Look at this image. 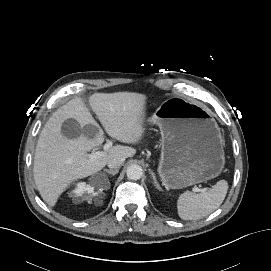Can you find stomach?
Returning <instances> with one entry per match:
<instances>
[{
  "label": "stomach",
  "mask_w": 271,
  "mask_h": 271,
  "mask_svg": "<svg viewBox=\"0 0 271 271\" xmlns=\"http://www.w3.org/2000/svg\"><path fill=\"white\" fill-rule=\"evenodd\" d=\"M149 122L161 131L158 173L167 189H180L217 177L223 170L224 143L209 111L180 98L164 101Z\"/></svg>",
  "instance_id": "0dacf381"
}]
</instances>
